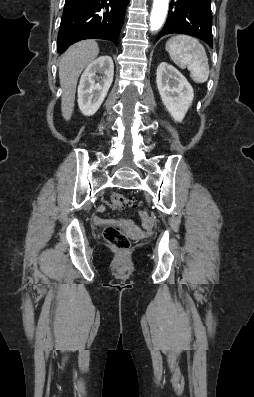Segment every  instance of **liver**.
<instances>
[{
    "label": "liver",
    "mask_w": 254,
    "mask_h": 397,
    "mask_svg": "<svg viewBox=\"0 0 254 397\" xmlns=\"http://www.w3.org/2000/svg\"><path fill=\"white\" fill-rule=\"evenodd\" d=\"M99 54V47L94 40L78 42L67 49L59 62V79L63 91L61 111L65 120H70L73 110L77 81L82 71Z\"/></svg>",
    "instance_id": "6515ba94"
}]
</instances>
